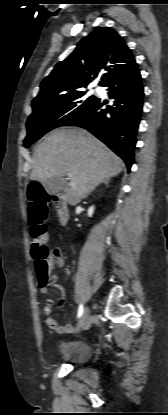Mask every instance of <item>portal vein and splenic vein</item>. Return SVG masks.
<instances>
[{
    "mask_svg": "<svg viewBox=\"0 0 168 415\" xmlns=\"http://www.w3.org/2000/svg\"><path fill=\"white\" fill-rule=\"evenodd\" d=\"M71 174H68V177H70L71 178ZM70 186H74V183H70Z\"/></svg>",
    "mask_w": 168,
    "mask_h": 415,
    "instance_id": "portal-vein-and-splenic-vein-1",
    "label": "portal vein and splenic vein"
}]
</instances>
